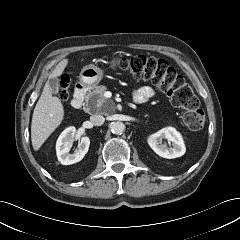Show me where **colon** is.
I'll use <instances>...</instances> for the list:
<instances>
[{
    "mask_svg": "<svg viewBox=\"0 0 240 240\" xmlns=\"http://www.w3.org/2000/svg\"><path fill=\"white\" fill-rule=\"evenodd\" d=\"M124 71L131 74L136 80L151 82L160 91L165 93L172 104L184 110L183 121L193 130L204 128L206 118L199 107V100L191 86L179 75L176 70L163 59L136 55L124 59L121 63ZM69 78L63 76L60 82L59 98L65 102L69 99Z\"/></svg>",
    "mask_w": 240,
    "mask_h": 240,
    "instance_id": "5ec220e1",
    "label": "colon"
}]
</instances>
